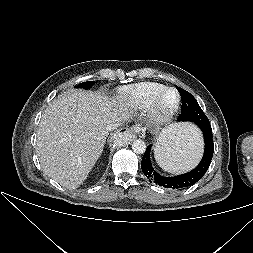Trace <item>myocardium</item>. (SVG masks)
<instances>
[{
	"label": "myocardium",
	"instance_id": "myocardium-1",
	"mask_svg": "<svg viewBox=\"0 0 253 253\" xmlns=\"http://www.w3.org/2000/svg\"><path fill=\"white\" fill-rule=\"evenodd\" d=\"M168 91H174L177 94L176 104L169 110H164L161 107V102L164 95ZM181 104V95L178 90L174 87H166L160 91L154 99L151 101L148 110L149 122L154 126H161L166 124L170 119L177 113Z\"/></svg>",
	"mask_w": 253,
	"mask_h": 253
}]
</instances>
